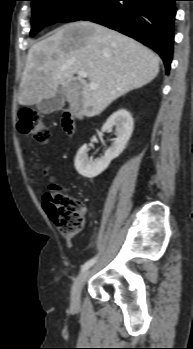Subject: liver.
<instances>
[{"label": "liver", "instance_id": "liver-1", "mask_svg": "<svg viewBox=\"0 0 193 349\" xmlns=\"http://www.w3.org/2000/svg\"><path fill=\"white\" fill-rule=\"evenodd\" d=\"M159 61L153 51L121 33L87 21L68 23L29 49L18 102L37 104L62 86L71 115L93 117L150 83L159 73ZM79 71L97 88L74 76Z\"/></svg>", "mask_w": 193, "mask_h": 349}]
</instances>
